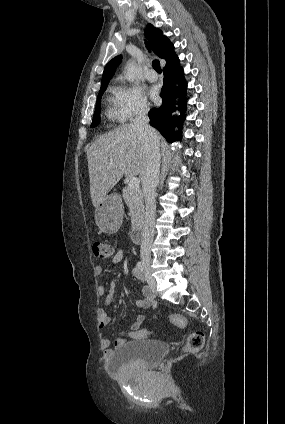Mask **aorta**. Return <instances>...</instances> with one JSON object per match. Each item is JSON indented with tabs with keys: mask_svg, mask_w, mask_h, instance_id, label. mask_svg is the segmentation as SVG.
Returning <instances> with one entry per match:
<instances>
[{
	"mask_svg": "<svg viewBox=\"0 0 285 424\" xmlns=\"http://www.w3.org/2000/svg\"><path fill=\"white\" fill-rule=\"evenodd\" d=\"M138 75V67L134 61H130L126 66L125 76L128 80L134 81Z\"/></svg>",
	"mask_w": 285,
	"mask_h": 424,
	"instance_id": "obj_1",
	"label": "aorta"
}]
</instances>
